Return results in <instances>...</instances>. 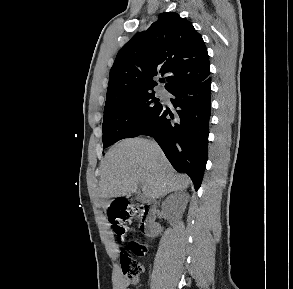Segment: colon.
I'll return each instance as SVG.
<instances>
[{"mask_svg":"<svg viewBox=\"0 0 293 289\" xmlns=\"http://www.w3.org/2000/svg\"><path fill=\"white\" fill-rule=\"evenodd\" d=\"M139 210L140 207L137 204L127 205L121 201H115L111 204L109 209V221L114 232L121 240L127 238L130 219L135 216ZM146 252V244L139 241L128 242L127 250L121 252L120 258L123 272L129 281L136 282L143 270L141 264L133 259L132 255L144 256Z\"/></svg>","mask_w":293,"mask_h":289,"instance_id":"5ec220e1","label":"colon"}]
</instances>
